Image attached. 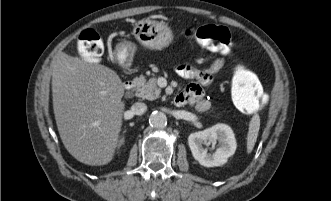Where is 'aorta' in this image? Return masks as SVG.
<instances>
[{
  "label": "aorta",
  "mask_w": 331,
  "mask_h": 201,
  "mask_svg": "<svg viewBox=\"0 0 331 201\" xmlns=\"http://www.w3.org/2000/svg\"><path fill=\"white\" fill-rule=\"evenodd\" d=\"M149 123L152 127L161 129L167 125V117L163 112L154 111L149 117Z\"/></svg>",
  "instance_id": "762f6f07"
}]
</instances>
